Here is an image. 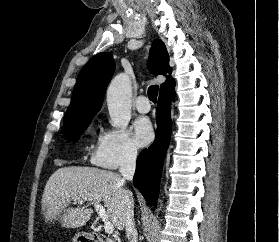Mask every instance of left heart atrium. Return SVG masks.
Instances as JSON below:
<instances>
[{
    "label": "left heart atrium",
    "mask_w": 279,
    "mask_h": 242,
    "mask_svg": "<svg viewBox=\"0 0 279 242\" xmlns=\"http://www.w3.org/2000/svg\"><path fill=\"white\" fill-rule=\"evenodd\" d=\"M153 138V128L147 117H140L134 125V139L138 146L147 145Z\"/></svg>",
    "instance_id": "39dd6f15"
}]
</instances>
